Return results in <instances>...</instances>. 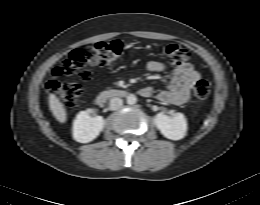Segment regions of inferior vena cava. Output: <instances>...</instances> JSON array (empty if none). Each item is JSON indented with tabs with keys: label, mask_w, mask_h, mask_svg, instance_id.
<instances>
[{
	"label": "inferior vena cava",
	"mask_w": 260,
	"mask_h": 205,
	"mask_svg": "<svg viewBox=\"0 0 260 205\" xmlns=\"http://www.w3.org/2000/svg\"><path fill=\"white\" fill-rule=\"evenodd\" d=\"M122 105H123V100L121 98L114 97V98L110 99V109L111 110H117V109L121 108Z\"/></svg>",
	"instance_id": "602c4592"
}]
</instances>
